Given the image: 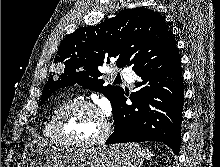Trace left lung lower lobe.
<instances>
[{
  "instance_id": "0a47b994",
  "label": "left lung lower lobe",
  "mask_w": 220,
  "mask_h": 167,
  "mask_svg": "<svg viewBox=\"0 0 220 167\" xmlns=\"http://www.w3.org/2000/svg\"><path fill=\"white\" fill-rule=\"evenodd\" d=\"M134 71L138 91L130 96L132 105L123 94L112 108L115 128L106 144L159 141L178 154L184 102L178 49Z\"/></svg>"
}]
</instances>
